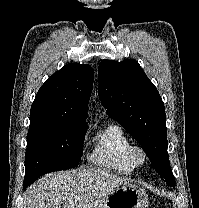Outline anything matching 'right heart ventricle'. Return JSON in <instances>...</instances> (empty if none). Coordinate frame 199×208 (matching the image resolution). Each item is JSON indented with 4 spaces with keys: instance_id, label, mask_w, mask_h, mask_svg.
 Wrapping results in <instances>:
<instances>
[{
    "instance_id": "right-heart-ventricle-1",
    "label": "right heart ventricle",
    "mask_w": 199,
    "mask_h": 208,
    "mask_svg": "<svg viewBox=\"0 0 199 208\" xmlns=\"http://www.w3.org/2000/svg\"><path fill=\"white\" fill-rule=\"evenodd\" d=\"M131 143L127 133L119 125L110 122L94 135L89 161L104 170L130 174L134 170L127 158V149Z\"/></svg>"
}]
</instances>
